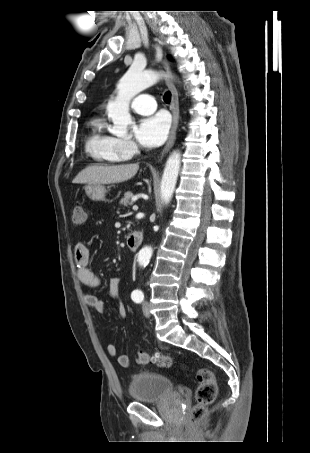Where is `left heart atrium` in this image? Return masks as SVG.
<instances>
[{"mask_svg":"<svg viewBox=\"0 0 310 453\" xmlns=\"http://www.w3.org/2000/svg\"><path fill=\"white\" fill-rule=\"evenodd\" d=\"M169 128V117L165 113H158L140 121L135 129V137L144 147H156L165 141Z\"/></svg>","mask_w":310,"mask_h":453,"instance_id":"left-heart-atrium-1","label":"left heart atrium"}]
</instances>
